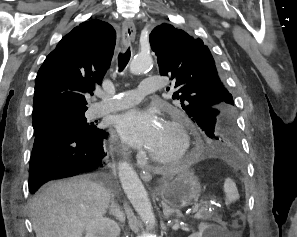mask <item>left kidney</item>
Listing matches in <instances>:
<instances>
[{"label":"left kidney","instance_id":"1","mask_svg":"<svg viewBox=\"0 0 297 237\" xmlns=\"http://www.w3.org/2000/svg\"><path fill=\"white\" fill-rule=\"evenodd\" d=\"M199 232L191 234L189 237H213L214 228L206 223H200L198 226Z\"/></svg>","mask_w":297,"mask_h":237}]
</instances>
